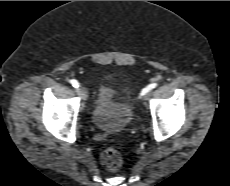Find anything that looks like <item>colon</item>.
<instances>
[{
    "instance_id": "colon-1",
    "label": "colon",
    "mask_w": 230,
    "mask_h": 186,
    "mask_svg": "<svg viewBox=\"0 0 230 186\" xmlns=\"http://www.w3.org/2000/svg\"><path fill=\"white\" fill-rule=\"evenodd\" d=\"M117 98L127 99V97L122 93L117 94ZM100 160L102 165L110 171L119 169L123 164L121 153L113 147L106 148L102 152Z\"/></svg>"
}]
</instances>
